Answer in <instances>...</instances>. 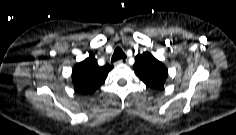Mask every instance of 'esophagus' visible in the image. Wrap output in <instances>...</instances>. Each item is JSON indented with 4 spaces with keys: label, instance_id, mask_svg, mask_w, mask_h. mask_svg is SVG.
<instances>
[{
    "label": "esophagus",
    "instance_id": "1",
    "mask_svg": "<svg viewBox=\"0 0 236 135\" xmlns=\"http://www.w3.org/2000/svg\"><path fill=\"white\" fill-rule=\"evenodd\" d=\"M127 63V59L126 58H123V59H120L116 62V64H125Z\"/></svg>",
    "mask_w": 236,
    "mask_h": 135
}]
</instances>
